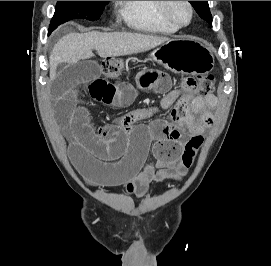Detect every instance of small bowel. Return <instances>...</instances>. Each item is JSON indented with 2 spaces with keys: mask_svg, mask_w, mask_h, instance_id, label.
Here are the masks:
<instances>
[{
  "mask_svg": "<svg viewBox=\"0 0 271 266\" xmlns=\"http://www.w3.org/2000/svg\"><path fill=\"white\" fill-rule=\"evenodd\" d=\"M51 74L55 114L69 133L70 160L89 185L125 186L129 194L141 197L153 182L180 180L185 174L180 158L183 136L198 133L213 122L214 95L192 97L172 90L167 73L143 66L135 74V84L164 93L160 106L132 111L96 128L88 109L79 104L80 86H86L93 100L115 107L132 102L134 86L111 83L91 60L59 64ZM167 109H171L169 121L138 125L154 112ZM152 142L155 161L148 162Z\"/></svg>",
  "mask_w": 271,
  "mask_h": 266,
  "instance_id": "1",
  "label": "small bowel"
}]
</instances>
